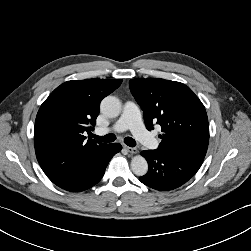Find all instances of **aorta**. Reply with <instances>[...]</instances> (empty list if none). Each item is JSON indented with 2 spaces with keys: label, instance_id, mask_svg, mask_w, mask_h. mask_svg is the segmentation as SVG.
<instances>
[{
  "label": "aorta",
  "instance_id": "1",
  "mask_svg": "<svg viewBox=\"0 0 251 251\" xmlns=\"http://www.w3.org/2000/svg\"><path fill=\"white\" fill-rule=\"evenodd\" d=\"M100 110L105 116L115 118L121 113V102L114 96H107L102 100ZM131 169L137 176L145 175L148 171L146 159L141 155H136L132 158Z\"/></svg>",
  "mask_w": 251,
  "mask_h": 251
}]
</instances>
